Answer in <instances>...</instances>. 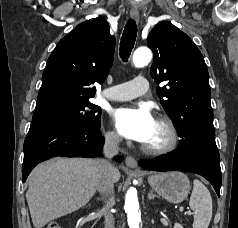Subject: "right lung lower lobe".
Instances as JSON below:
<instances>
[{"label":"right lung lower lobe","mask_w":238,"mask_h":228,"mask_svg":"<svg viewBox=\"0 0 238 228\" xmlns=\"http://www.w3.org/2000/svg\"><path fill=\"white\" fill-rule=\"evenodd\" d=\"M100 126H87L61 121H33L24 142L22 181L40 162L56 156L96 157L104 138ZM117 161L122 156L115 157Z\"/></svg>","instance_id":"obj_1"}]
</instances>
